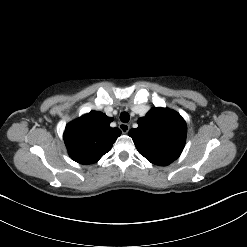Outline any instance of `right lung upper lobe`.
Returning a JSON list of instances; mask_svg holds the SVG:
<instances>
[{
    "instance_id": "right-lung-upper-lobe-1",
    "label": "right lung upper lobe",
    "mask_w": 247,
    "mask_h": 247,
    "mask_svg": "<svg viewBox=\"0 0 247 247\" xmlns=\"http://www.w3.org/2000/svg\"><path fill=\"white\" fill-rule=\"evenodd\" d=\"M111 121L105 114L91 111L69 123L63 135L69 156L80 164L97 162L121 134L110 127Z\"/></svg>"
}]
</instances>
